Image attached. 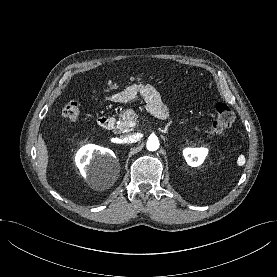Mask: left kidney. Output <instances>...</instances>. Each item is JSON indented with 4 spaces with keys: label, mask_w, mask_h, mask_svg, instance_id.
<instances>
[{
    "label": "left kidney",
    "mask_w": 277,
    "mask_h": 277,
    "mask_svg": "<svg viewBox=\"0 0 277 277\" xmlns=\"http://www.w3.org/2000/svg\"><path fill=\"white\" fill-rule=\"evenodd\" d=\"M207 153L208 150L206 148H186L183 151L186 162L192 167L201 165Z\"/></svg>",
    "instance_id": "left-kidney-1"
}]
</instances>
